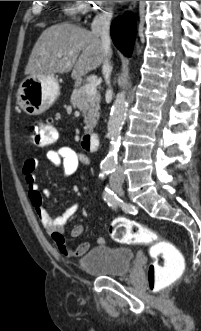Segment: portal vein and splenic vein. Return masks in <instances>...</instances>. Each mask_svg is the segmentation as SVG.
<instances>
[{
  "mask_svg": "<svg viewBox=\"0 0 201 331\" xmlns=\"http://www.w3.org/2000/svg\"><path fill=\"white\" fill-rule=\"evenodd\" d=\"M58 57H61L62 55L60 53L57 54ZM84 92L87 95H94L97 92L96 85L94 83H88L84 86Z\"/></svg>",
  "mask_w": 201,
  "mask_h": 331,
  "instance_id": "portal-vein-and-splenic-vein-1",
  "label": "portal vein and splenic vein"
}]
</instances>
